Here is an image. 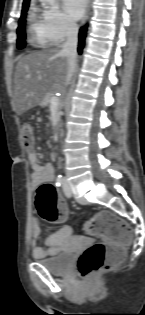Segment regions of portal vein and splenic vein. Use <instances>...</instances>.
<instances>
[{
	"mask_svg": "<svg viewBox=\"0 0 145 315\" xmlns=\"http://www.w3.org/2000/svg\"><path fill=\"white\" fill-rule=\"evenodd\" d=\"M51 105H57L58 104V98L57 97H52L50 100Z\"/></svg>",
	"mask_w": 145,
	"mask_h": 315,
	"instance_id": "1",
	"label": "portal vein and splenic vein"
}]
</instances>
